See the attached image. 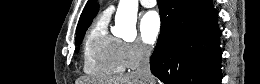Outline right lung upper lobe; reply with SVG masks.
<instances>
[{"label":"right lung upper lobe","mask_w":260,"mask_h":84,"mask_svg":"<svg viewBox=\"0 0 260 84\" xmlns=\"http://www.w3.org/2000/svg\"><path fill=\"white\" fill-rule=\"evenodd\" d=\"M98 11V5L93 2H88L80 16L78 25H77V32L79 34L83 30L87 29L88 26L91 24L92 19L95 17Z\"/></svg>","instance_id":"right-lung-upper-lobe-1"}]
</instances>
